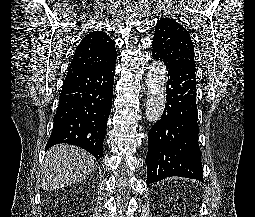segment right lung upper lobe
Returning <instances> with one entry per match:
<instances>
[{"mask_svg": "<svg viewBox=\"0 0 255 217\" xmlns=\"http://www.w3.org/2000/svg\"><path fill=\"white\" fill-rule=\"evenodd\" d=\"M116 58L115 42L103 31H92L77 46L69 69L100 68Z\"/></svg>", "mask_w": 255, "mask_h": 217, "instance_id": "right-lung-upper-lobe-1", "label": "right lung upper lobe"}]
</instances>
